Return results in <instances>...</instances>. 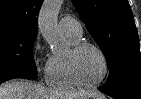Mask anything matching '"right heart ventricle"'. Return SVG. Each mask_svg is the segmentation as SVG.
<instances>
[{
  "instance_id": "1",
  "label": "right heart ventricle",
  "mask_w": 141,
  "mask_h": 99,
  "mask_svg": "<svg viewBox=\"0 0 141 99\" xmlns=\"http://www.w3.org/2000/svg\"><path fill=\"white\" fill-rule=\"evenodd\" d=\"M65 36L72 45L81 40V38L68 34H65ZM46 80L51 87L56 89H72L78 86L70 74L68 55H53L50 57L46 70Z\"/></svg>"
}]
</instances>
